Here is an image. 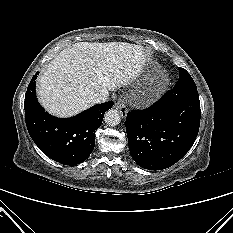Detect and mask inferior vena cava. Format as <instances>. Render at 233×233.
I'll list each match as a JSON object with an SVG mask.
<instances>
[{
  "instance_id": "inferior-vena-cava-1",
  "label": "inferior vena cava",
  "mask_w": 233,
  "mask_h": 233,
  "mask_svg": "<svg viewBox=\"0 0 233 233\" xmlns=\"http://www.w3.org/2000/svg\"><path fill=\"white\" fill-rule=\"evenodd\" d=\"M109 97V91L105 90L102 93H97L92 97L93 103H103Z\"/></svg>"
}]
</instances>
